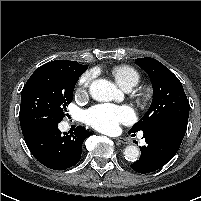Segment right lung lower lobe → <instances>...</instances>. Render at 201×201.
Instances as JSON below:
<instances>
[{"instance_id": "98d812e1", "label": "right lung lower lobe", "mask_w": 201, "mask_h": 201, "mask_svg": "<svg viewBox=\"0 0 201 201\" xmlns=\"http://www.w3.org/2000/svg\"><path fill=\"white\" fill-rule=\"evenodd\" d=\"M32 155L44 166L64 170L77 164L82 144L92 133L78 126L74 132L61 133L56 122H42L22 129Z\"/></svg>"}]
</instances>
